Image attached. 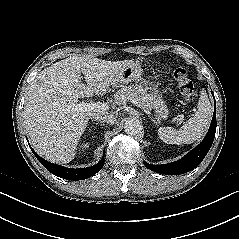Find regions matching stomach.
Listing matches in <instances>:
<instances>
[{"label": "stomach", "mask_w": 239, "mask_h": 239, "mask_svg": "<svg viewBox=\"0 0 239 239\" xmlns=\"http://www.w3.org/2000/svg\"><path fill=\"white\" fill-rule=\"evenodd\" d=\"M142 81L146 89L153 91L151 97V107L155 109L158 119H166L168 117V108L165 101L157 95L158 86L150 79L143 78V69L139 61L129 60L123 65V67L117 73L113 87H119L123 84H128L129 82Z\"/></svg>", "instance_id": "obj_1"}]
</instances>
